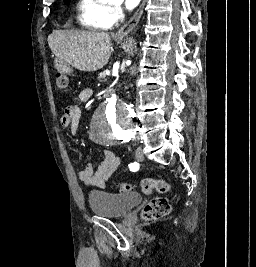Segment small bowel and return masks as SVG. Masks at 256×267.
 <instances>
[{"instance_id": "1", "label": "small bowel", "mask_w": 256, "mask_h": 267, "mask_svg": "<svg viewBox=\"0 0 256 267\" xmlns=\"http://www.w3.org/2000/svg\"><path fill=\"white\" fill-rule=\"evenodd\" d=\"M92 97L90 88L83 89L79 94V99L82 102H87ZM80 110L76 106H68L60 123L63 127L71 129L73 134L77 133L79 125ZM120 165V158L110 149L104 151V158L97 168L91 163H88L80 172L79 179L87 186L103 188L108 179L113 175L115 170Z\"/></svg>"}]
</instances>
